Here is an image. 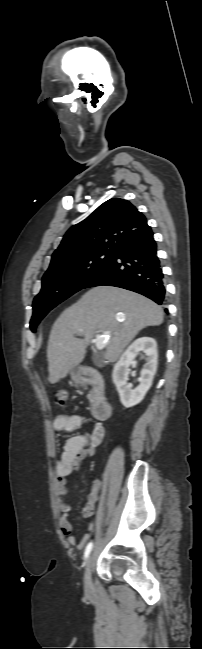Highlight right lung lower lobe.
<instances>
[{"label": "right lung lower lobe", "mask_w": 202, "mask_h": 649, "mask_svg": "<svg viewBox=\"0 0 202 649\" xmlns=\"http://www.w3.org/2000/svg\"><path fill=\"white\" fill-rule=\"evenodd\" d=\"M151 229L122 244L83 288L116 286L165 302V281Z\"/></svg>", "instance_id": "right-lung-lower-lobe-1"}]
</instances>
